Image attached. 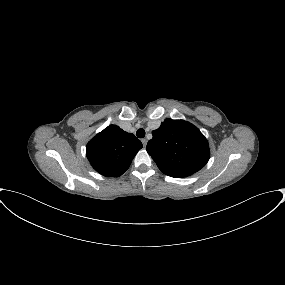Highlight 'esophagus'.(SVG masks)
Here are the masks:
<instances>
[{"instance_id":"1","label":"esophagus","mask_w":285,"mask_h":285,"mask_svg":"<svg viewBox=\"0 0 285 285\" xmlns=\"http://www.w3.org/2000/svg\"><path fill=\"white\" fill-rule=\"evenodd\" d=\"M141 141H142L143 146L146 147V145H147V139L144 138V139H142Z\"/></svg>"}]
</instances>
